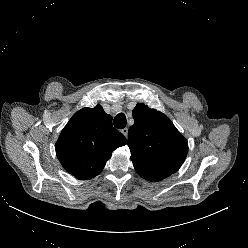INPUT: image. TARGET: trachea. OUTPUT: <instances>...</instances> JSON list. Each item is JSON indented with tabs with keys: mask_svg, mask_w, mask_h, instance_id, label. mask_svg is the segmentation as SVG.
Here are the masks:
<instances>
[{
	"mask_svg": "<svg viewBox=\"0 0 248 248\" xmlns=\"http://www.w3.org/2000/svg\"><path fill=\"white\" fill-rule=\"evenodd\" d=\"M114 126L118 129H123L126 126L127 120L126 116L124 113H119L115 118H114Z\"/></svg>",
	"mask_w": 248,
	"mask_h": 248,
	"instance_id": "obj_1",
	"label": "trachea"
}]
</instances>
